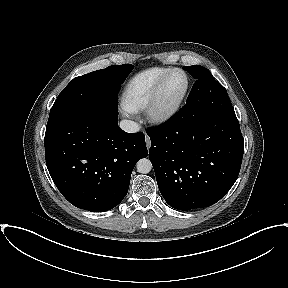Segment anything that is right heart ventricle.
Masks as SVG:
<instances>
[{
    "label": "right heart ventricle",
    "mask_w": 288,
    "mask_h": 288,
    "mask_svg": "<svg viewBox=\"0 0 288 288\" xmlns=\"http://www.w3.org/2000/svg\"><path fill=\"white\" fill-rule=\"evenodd\" d=\"M169 69L168 67H150L135 74L129 80L123 96V104L127 109L132 113L146 109L156 83Z\"/></svg>",
    "instance_id": "obj_1"
}]
</instances>
